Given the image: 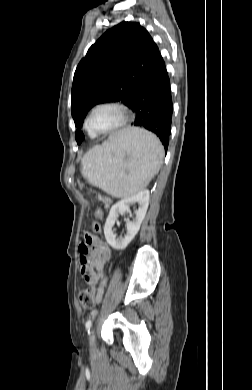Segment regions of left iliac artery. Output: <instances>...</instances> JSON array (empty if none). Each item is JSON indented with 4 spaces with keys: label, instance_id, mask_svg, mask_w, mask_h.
Masks as SVG:
<instances>
[{
    "label": "left iliac artery",
    "instance_id": "44dca946",
    "mask_svg": "<svg viewBox=\"0 0 252 390\" xmlns=\"http://www.w3.org/2000/svg\"><path fill=\"white\" fill-rule=\"evenodd\" d=\"M85 326H86V329H87V331H88V333H89L90 328H91V326H92V321H91V320H88V321L86 322Z\"/></svg>",
    "mask_w": 252,
    "mask_h": 390
}]
</instances>
